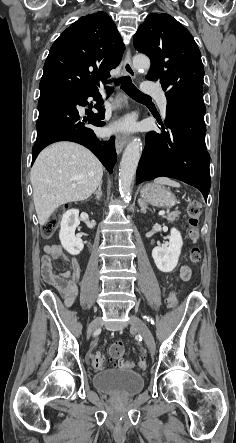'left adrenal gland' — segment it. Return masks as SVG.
<instances>
[{
	"mask_svg": "<svg viewBox=\"0 0 236 443\" xmlns=\"http://www.w3.org/2000/svg\"><path fill=\"white\" fill-rule=\"evenodd\" d=\"M139 204L141 207V212L145 214L147 210V205L143 201H140Z\"/></svg>",
	"mask_w": 236,
	"mask_h": 443,
	"instance_id": "1",
	"label": "left adrenal gland"
}]
</instances>
